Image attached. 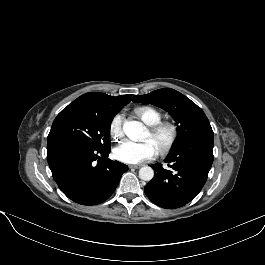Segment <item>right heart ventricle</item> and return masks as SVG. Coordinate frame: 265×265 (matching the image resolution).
Returning a JSON list of instances; mask_svg holds the SVG:
<instances>
[{"label": "right heart ventricle", "instance_id": "right-heart-ventricle-1", "mask_svg": "<svg viewBox=\"0 0 265 265\" xmlns=\"http://www.w3.org/2000/svg\"><path fill=\"white\" fill-rule=\"evenodd\" d=\"M138 117L148 126H152L161 121V113L150 106H141L135 110Z\"/></svg>", "mask_w": 265, "mask_h": 265}]
</instances>
